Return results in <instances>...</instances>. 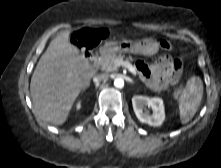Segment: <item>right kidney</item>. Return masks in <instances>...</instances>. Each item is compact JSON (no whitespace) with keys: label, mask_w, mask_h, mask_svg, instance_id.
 Returning <instances> with one entry per match:
<instances>
[{"label":"right kidney","mask_w":221,"mask_h":168,"mask_svg":"<svg viewBox=\"0 0 221 168\" xmlns=\"http://www.w3.org/2000/svg\"><path fill=\"white\" fill-rule=\"evenodd\" d=\"M80 106H81V105H80V103H79V104L77 105V108L79 109V108H80Z\"/></svg>","instance_id":"right-kidney-1"}]
</instances>
